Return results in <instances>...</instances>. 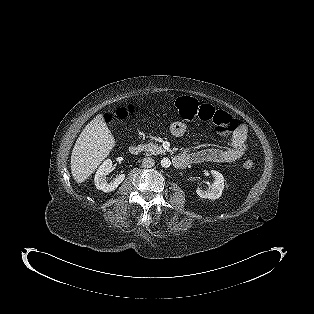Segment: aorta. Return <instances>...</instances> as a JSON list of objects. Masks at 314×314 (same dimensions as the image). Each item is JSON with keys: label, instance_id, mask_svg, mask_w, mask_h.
<instances>
[{"label": "aorta", "instance_id": "aorta-1", "mask_svg": "<svg viewBox=\"0 0 314 314\" xmlns=\"http://www.w3.org/2000/svg\"><path fill=\"white\" fill-rule=\"evenodd\" d=\"M171 164V161L169 160V158H163L161 160V166L164 168H168Z\"/></svg>", "mask_w": 314, "mask_h": 314}]
</instances>
